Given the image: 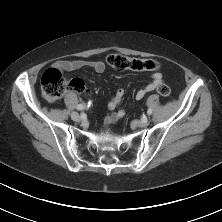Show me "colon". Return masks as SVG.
<instances>
[{
    "instance_id": "5ec220e1",
    "label": "colon",
    "mask_w": 222,
    "mask_h": 222,
    "mask_svg": "<svg viewBox=\"0 0 222 222\" xmlns=\"http://www.w3.org/2000/svg\"><path fill=\"white\" fill-rule=\"evenodd\" d=\"M106 63L118 70L153 71L158 68L154 59L128 57L122 54L113 53L106 57ZM72 87L71 82L66 79L57 68L47 69L41 77V89L47 101H55L62 97ZM162 96H168L170 89L166 85L157 87Z\"/></svg>"
}]
</instances>
